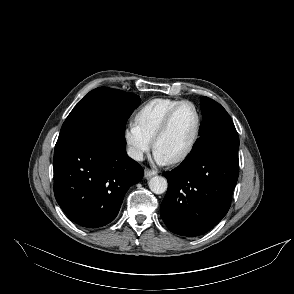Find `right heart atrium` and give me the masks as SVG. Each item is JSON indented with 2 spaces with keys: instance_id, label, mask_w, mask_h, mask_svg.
I'll use <instances>...</instances> for the list:
<instances>
[{
  "instance_id": "d8ad5b80",
  "label": "right heart atrium",
  "mask_w": 294,
  "mask_h": 294,
  "mask_svg": "<svg viewBox=\"0 0 294 294\" xmlns=\"http://www.w3.org/2000/svg\"><path fill=\"white\" fill-rule=\"evenodd\" d=\"M123 139L129 156L135 161H141L152 146V139L144 134L136 122L125 125Z\"/></svg>"
}]
</instances>
